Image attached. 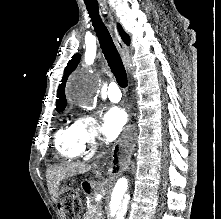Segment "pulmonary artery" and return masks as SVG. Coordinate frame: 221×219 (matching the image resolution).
<instances>
[{
	"label": "pulmonary artery",
	"instance_id": "e3ab8cb5",
	"mask_svg": "<svg viewBox=\"0 0 221 219\" xmlns=\"http://www.w3.org/2000/svg\"><path fill=\"white\" fill-rule=\"evenodd\" d=\"M107 96L112 102H118L121 100L122 94L117 83L111 82L109 84L107 89Z\"/></svg>",
	"mask_w": 221,
	"mask_h": 219
}]
</instances>
